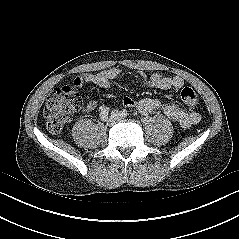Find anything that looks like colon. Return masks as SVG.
Instances as JSON below:
<instances>
[{
    "mask_svg": "<svg viewBox=\"0 0 239 239\" xmlns=\"http://www.w3.org/2000/svg\"><path fill=\"white\" fill-rule=\"evenodd\" d=\"M180 96L189 107H195L198 104L197 94L191 87H183ZM81 105V98L72 86L56 88L48 97L43 109L47 129L51 133L61 132Z\"/></svg>",
    "mask_w": 239,
    "mask_h": 239,
    "instance_id": "5ec220e1",
    "label": "colon"
}]
</instances>
